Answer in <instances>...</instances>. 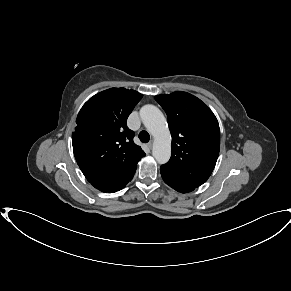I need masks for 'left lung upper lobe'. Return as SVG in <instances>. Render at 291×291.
Listing matches in <instances>:
<instances>
[{"mask_svg": "<svg viewBox=\"0 0 291 291\" xmlns=\"http://www.w3.org/2000/svg\"><path fill=\"white\" fill-rule=\"evenodd\" d=\"M168 117L172 156L161 169L195 186L211 175L220 150V129L213 112L186 92L157 95Z\"/></svg>", "mask_w": 291, "mask_h": 291, "instance_id": "1", "label": "left lung upper lobe"}]
</instances>
